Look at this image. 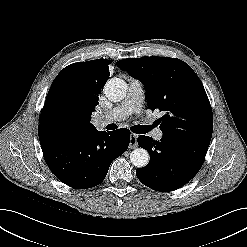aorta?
Returning a JSON list of instances; mask_svg holds the SVG:
<instances>
[{
  "label": "aorta",
  "instance_id": "762f6f07",
  "mask_svg": "<svg viewBox=\"0 0 247 247\" xmlns=\"http://www.w3.org/2000/svg\"><path fill=\"white\" fill-rule=\"evenodd\" d=\"M104 93L108 100L119 102L126 97L127 84L122 79L111 78L104 86ZM149 159V153L143 148H136L130 154L131 163L138 168L145 167Z\"/></svg>",
  "mask_w": 247,
  "mask_h": 247
}]
</instances>
